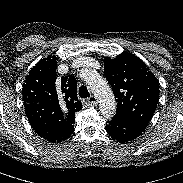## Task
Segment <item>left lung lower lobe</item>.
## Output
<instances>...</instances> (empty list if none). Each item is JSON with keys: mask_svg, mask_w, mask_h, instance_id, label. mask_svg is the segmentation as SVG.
I'll list each match as a JSON object with an SVG mask.
<instances>
[{"mask_svg": "<svg viewBox=\"0 0 183 183\" xmlns=\"http://www.w3.org/2000/svg\"><path fill=\"white\" fill-rule=\"evenodd\" d=\"M105 128L115 140L128 142L137 138L145 130L146 125L114 116Z\"/></svg>", "mask_w": 183, "mask_h": 183, "instance_id": "0a47b994", "label": "left lung lower lobe"}]
</instances>
